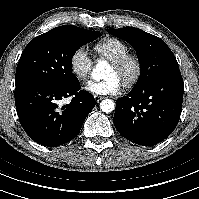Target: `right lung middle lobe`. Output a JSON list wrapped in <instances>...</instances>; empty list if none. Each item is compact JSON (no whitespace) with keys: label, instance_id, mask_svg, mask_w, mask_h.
Segmentation results:
<instances>
[{"label":"right lung middle lobe","instance_id":"right-lung-middle-lobe-1","mask_svg":"<svg viewBox=\"0 0 199 199\" xmlns=\"http://www.w3.org/2000/svg\"><path fill=\"white\" fill-rule=\"evenodd\" d=\"M99 35V31L65 25L33 38L18 62L15 85L32 82L64 85L77 81L72 73L73 55Z\"/></svg>","mask_w":199,"mask_h":199}]
</instances>
